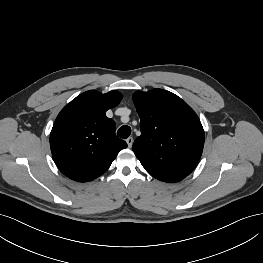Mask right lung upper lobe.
<instances>
[{"label": "right lung upper lobe", "instance_id": "cb5924a9", "mask_svg": "<svg viewBox=\"0 0 263 263\" xmlns=\"http://www.w3.org/2000/svg\"><path fill=\"white\" fill-rule=\"evenodd\" d=\"M122 99L118 91L90 90L67 104L57 116L50 147L58 168L70 179L92 181L110 167L125 141L115 135V122L106 111Z\"/></svg>", "mask_w": 263, "mask_h": 263}]
</instances>
